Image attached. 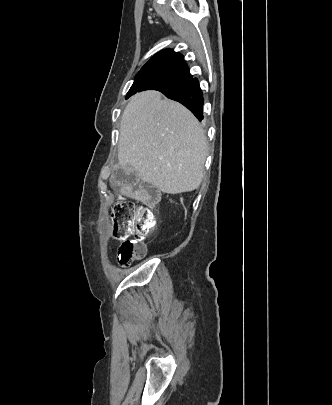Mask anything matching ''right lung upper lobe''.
Instances as JSON below:
<instances>
[{
    "label": "right lung upper lobe",
    "instance_id": "1",
    "mask_svg": "<svg viewBox=\"0 0 332 405\" xmlns=\"http://www.w3.org/2000/svg\"><path fill=\"white\" fill-rule=\"evenodd\" d=\"M143 72H160L180 76L184 80L192 77L183 55L171 49L156 53L139 71V73Z\"/></svg>",
    "mask_w": 332,
    "mask_h": 405
}]
</instances>
